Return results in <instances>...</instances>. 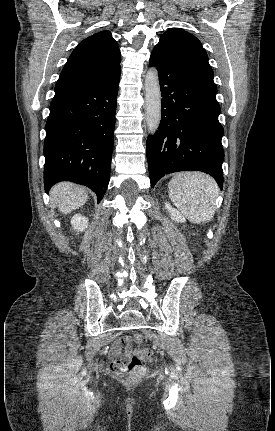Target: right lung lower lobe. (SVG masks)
<instances>
[{
    "instance_id": "right-lung-lower-lobe-1",
    "label": "right lung lower lobe",
    "mask_w": 275,
    "mask_h": 431,
    "mask_svg": "<svg viewBox=\"0 0 275 431\" xmlns=\"http://www.w3.org/2000/svg\"><path fill=\"white\" fill-rule=\"evenodd\" d=\"M120 72L108 81L56 92L44 143V186L71 181L95 191L108 187Z\"/></svg>"
}]
</instances>
